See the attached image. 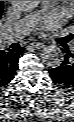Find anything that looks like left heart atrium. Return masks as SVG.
Returning <instances> with one entry per match:
<instances>
[{
    "label": "left heart atrium",
    "mask_w": 74,
    "mask_h": 122,
    "mask_svg": "<svg viewBox=\"0 0 74 122\" xmlns=\"http://www.w3.org/2000/svg\"><path fill=\"white\" fill-rule=\"evenodd\" d=\"M60 22V17L57 14H52L43 20L40 28L41 30H52Z\"/></svg>",
    "instance_id": "obj_1"
}]
</instances>
